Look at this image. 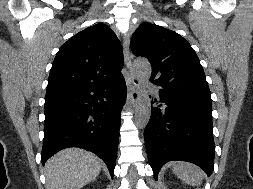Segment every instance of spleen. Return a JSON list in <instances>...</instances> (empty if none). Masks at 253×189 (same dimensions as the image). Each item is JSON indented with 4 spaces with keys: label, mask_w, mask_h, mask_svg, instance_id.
<instances>
[{
    "label": "spleen",
    "mask_w": 253,
    "mask_h": 189,
    "mask_svg": "<svg viewBox=\"0 0 253 189\" xmlns=\"http://www.w3.org/2000/svg\"><path fill=\"white\" fill-rule=\"evenodd\" d=\"M172 170L179 179L192 186L200 185L204 177L200 168L188 162H174Z\"/></svg>",
    "instance_id": "1"
}]
</instances>
